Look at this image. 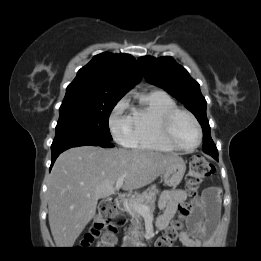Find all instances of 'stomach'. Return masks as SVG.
Listing matches in <instances>:
<instances>
[{"label": "stomach", "mask_w": 261, "mask_h": 261, "mask_svg": "<svg viewBox=\"0 0 261 261\" xmlns=\"http://www.w3.org/2000/svg\"><path fill=\"white\" fill-rule=\"evenodd\" d=\"M186 171V164L184 160L178 157L168 170L163 173V181L166 186L176 187L181 180Z\"/></svg>", "instance_id": "stomach-1"}]
</instances>
